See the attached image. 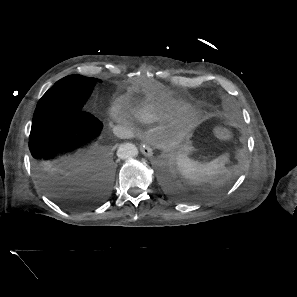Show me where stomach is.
I'll list each match as a JSON object with an SVG mask.
<instances>
[{
	"mask_svg": "<svg viewBox=\"0 0 297 297\" xmlns=\"http://www.w3.org/2000/svg\"><path fill=\"white\" fill-rule=\"evenodd\" d=\"M193 150V147L191 145V142L186 141L183 144H181L180 148H179V155H185L187 156L188 154L191 153V151Z\"/></svg>",
	"mask_w": 297,
	"mask_h": 297,
	"instance_id": "1",
	"label": "stomach"
}]
</instances>
